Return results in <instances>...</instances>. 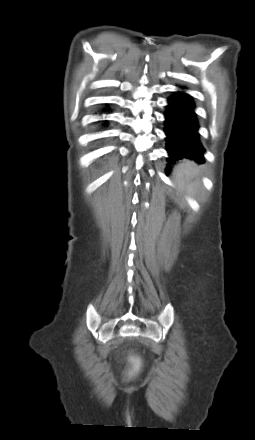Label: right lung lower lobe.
I'll return each instance as SVG.
<instances>
[{"label": "right lung lower lobe", "mask_w": 255, "mask_h": 440, "mask_svg": "<svg viewBox=\"0 0 255 440\" xmlns=\"http://www.w3.org/2000/svg\"><path fill=\"white\" fill-rule=\"evenodd\" d=\"M102 111H103V112H110L109 108H107V109L104 108ZM107 124H108L107 121H103V123H102L103 126H107Z\"/></svg>", "instance_id": "right-lung-lower-lobe-1"}]
</instances>
